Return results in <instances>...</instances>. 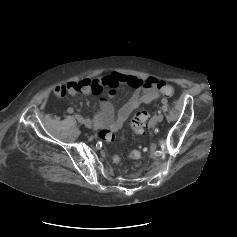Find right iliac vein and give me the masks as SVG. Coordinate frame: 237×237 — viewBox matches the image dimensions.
<instances>
[{
	"label": "right iliac vein",
	"instance_id": "obj_1",
	"mask_svg": "<svg viewBox=\"0 0 237 237\" xmlns=\"http://www.w3.org/2000/svg\"><path fill=\"white\" fill-rule=\"evenodd\" d=\"M84 125L89 129L92 128V122L89 119L84 120Z\"/></svg>",
	"mask_w": 237,
	"mask_h": 237
}]
</instances>
